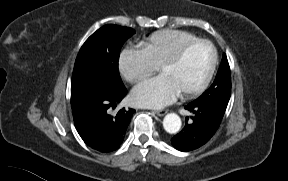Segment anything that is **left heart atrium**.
<instances>
[{"label": "left heart atrium", "instance_id": "left-heart-atrium-1", "mask_svg": "<svg viewBox=\"0 0 288 181\" xmlns=\"http://www.w3.org/2000/svg\"><path fill=\"white\" fill-rule=\"evenodd\" d=\"M179 91L171 81L159 75L137 85L132 91L133 102L141 107L161 108L173 102Z\"/></svg>", "mask_w": 288, "mask_h": 181}]
</instances>
